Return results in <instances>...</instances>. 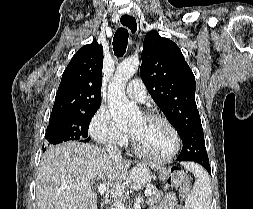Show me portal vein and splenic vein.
Returning <instances> with one entry per match:
<instances>
[{
    "label": "portal vein and splenic vein",
    "mask_w": 253,
    "mask_h": 209,
    "mask_svg": "<svg viewBox=\"0 0 253 209\" xmlns=\"http://www.w3.org/2000/svg\"><path fill=\"white\" fill-rule=\"evenodd\" d=\"M107 189H108V186H106V184L104 183L98 186V192L101 195H103ZM116 189H119V188H116ZM144 193H145V196H149L151 194V188H147ZM111 209H125V208H124V205H122L121 203H117V204L111 205Z\"/></svg>",
    "instance_id": "obj_1"
}]
</instances>
